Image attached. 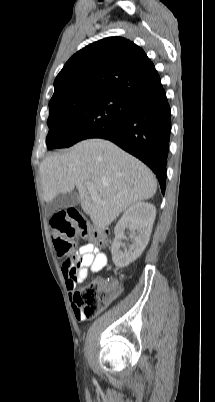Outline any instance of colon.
I'll use <instances>...</instances> for the list:
<instances>
[{
    "instance_id": "5ec220e1",
    "label": "colon",
    "mask_w": 215,
    "mask_h": 402,
    "mask_svg": "<svg viewBox=\"0 0 215 402\" xmlns=\"http://www.w3.org/2000/svg\"><path fill=\"white\" fill-rule=\"evenodd\" d=\"M50 226L55 251L59 256L66 257L64 266L70 268L72 273L79 266V262L72 257L73 237L78 235L100 245L107 242L105 235L93 229L75 209L55 213L50 220ZM116 293L112 285L91 284L75 293L74 302L84 316L93 317L109 304Z\"/></svg>"
}]
</instances>
